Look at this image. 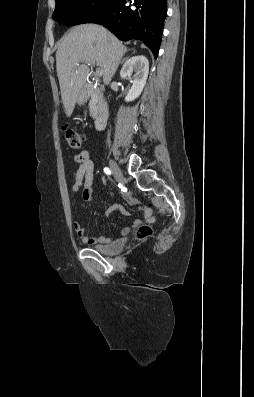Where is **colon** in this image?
<instances>
[{
  "label": "colon",
  "instance_id": "obj_1",
  "mask_svg": "<svg viewBox=\"0 0 254 397\" xmlns=\"http://www.w3.org/2000/svg\"><path fill=\"white\" fill-rule=\"evenodd\" d=\"M63 134L69 146L75 150L80 149L82 145V138L79 133L73 129L63 127ZM152 234V229L147 226H141L137 231V237L140 240L148 238Z\"/></svg>",
  "mask_w": 254,
  "mask_h": 397
}]
</instances>
